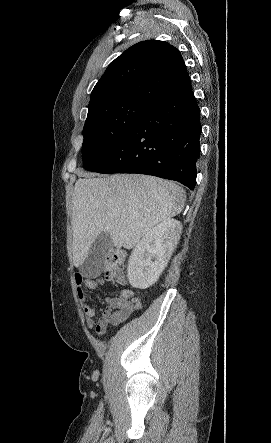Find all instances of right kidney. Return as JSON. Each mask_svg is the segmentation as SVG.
<instances>
[{
  "label": "right kidney",
  "instance_id": "1",
  "mask_svg": "<svg viewBox=\"0 0 271 443\" xmlns=\"http://www.w3.org/2000/svg\"><path fill=\"white\" fill-rule=\"evenodd\" d=\"M181 229V222L166 218L143 235L128 261L127 277L132 287L146 289L157 281L180 239Z\"/></svg>",
  "mask_w": 271,
  "mask_h": 443
}]
</instances>
